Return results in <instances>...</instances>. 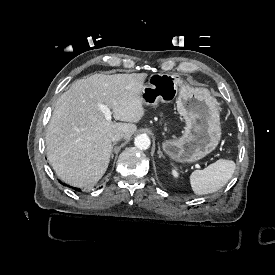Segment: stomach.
Returning a JSON list of instances; mask_svg holds the SVG:
<instances>
[{"label": "stomach", "instance_id": "0dacf381", "mask_svg": "<svg viewBox=\"0 0 275 275\" xmlns=\"http://www.w3.org/2000/svg\"><path fill=\"white\" fill-rule=\"evenodd\" d=\"M177 110L186 127L180 138L164 140L162 147L171 159L195 162L212 152L221 137L220 107L207 88L189 86L177 73L151 74L140 98L146 106L170 103L176 96Z\"/></svg>", "mask_w": 275, "mask_h": 275}]
</instances>
